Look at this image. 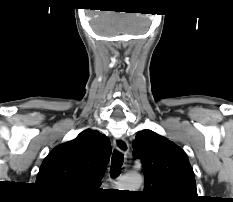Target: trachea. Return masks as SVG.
Masks as SVG:
<instances>
[{
    "label": "trachea",
    "instance_id": "trachea-1",
    "mask_svg": "<svg viewBox=\"0 0 233 202\" xmlns=\"http://www.w3.org/2000/svg\"><path fill=\"white\" fill-rule=\"evenodd\" d=\"M123 162L124 155L121 152L114 150L111 161V176L113 178L120 175Z\"/></svg>",
    "mask_w": 233,
    "mask_h": 202
}]
</instances>
